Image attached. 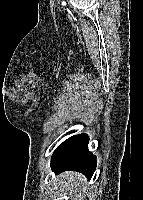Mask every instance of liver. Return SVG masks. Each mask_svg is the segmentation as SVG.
<instances>
[{
	"instance_id": "1",
	"label": "liver",
	"mask_w": 143,
	"mask_h": 200,
	"mask_svg": "<svg viewBox=\"0 0 143 200\" xmlns=\"http://www.w3.org/2000/svg\"><path fill=\"white\" fill-rule=\"evenodd\" d=\"M85 177L78 172H64L59 175V179L55 184L56 196L63 200V198H71L72 200H79L86 195Z\"/></svg>"
}]
</instances>
